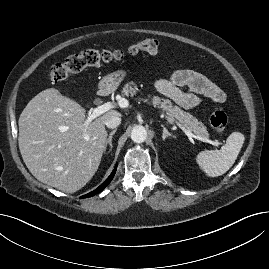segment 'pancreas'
Listing matches in <instances>:
<instances>
[{"instance_id":"pancreas-1","label":"pancreas","mask_w":269,"mask_h":269,"mask_svg":"<svg viewBox=\"0 0 269 269\" xmlns=\"http://www.w3.org/2000/svg\"><path fill=\"white\" fill-rule=\"evenodd\" d=\"M139 91L140 90L134 84L133 81L125 84L122 90L124 95L131 97L136 95L137 92ZM148 97L151 98L154 106L166 112V118L168 119L169 122L177 120L185 128L190 130L195 136L204 139L209 138V133L206 129V126L202 122H200L196 117H194L188 112L181 110L178 106L172 105L171 101L168 99H163L158 96L151 97L150 95Z\"/></svg>"}]
</instances>
